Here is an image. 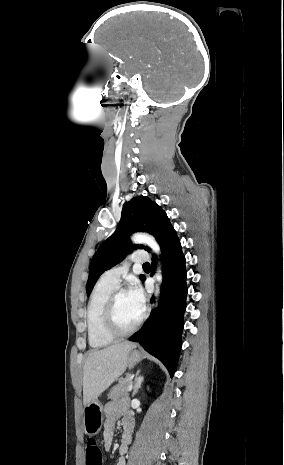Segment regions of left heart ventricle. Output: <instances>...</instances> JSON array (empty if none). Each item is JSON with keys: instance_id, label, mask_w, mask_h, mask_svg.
Returning <instances> with one entry per match:
<instances>
[{"instance_id": "obj_1", "label": "left heart ventricle", "mask_w": 284, "mask_h": 465, "mask_svg": "<svg viewBox=\"0 0 284 465\" xmlns=\"http://www.w3.org/2000/svg\"><path fill=\"white\" fill-rule=\"evenodd\" d=\"M139 312L129 300L126 293L120 294L117 299V329L120 332L129 331L139 320Z\"/></svg>"}]
</instances>
